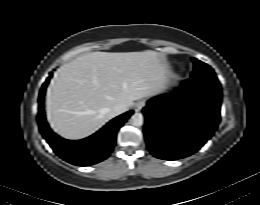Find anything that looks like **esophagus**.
<instances>
[{
	"mask_svg": "<svg viewBox=\"0 0 260 205\" xmlns=\"http://www.w3.org/2000/svg\"><path fill=\"white\" fill-rule=\"evenodd\" d=\"M144 106H145L144 101H138L134 106L135 111H140Z\"/></svg>",
	"mask_w": 260,
	"mask_h": 205,
	"instance_id": "1",
	"label": "esophagus"
}]
</instances>
